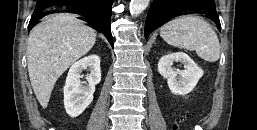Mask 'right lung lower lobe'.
<instances>
[{
    "instance_id": "right-lung-lower-lobe-1",
    "label": "right lung lower lobe",
    "mask_w": 257,
    "mask_h": 130,
    "mask_svg": "<svg viewBox=\"0 0 257 130\" xmlns=\"http://www.w3.org/2000/svg\"><path fill=\"white\" fill-rule=\"evenodd\" d=\"M114 0H92L81 1L76 4H68L60 1H42L38 0L36 8L32 14L28 25L30 30L34 25L39 23V19L44 17L46 9L53 6H72L77 8L76 14L81 15L80 19L89 23V26L98 32L105 34L106 38L113 46V39L111 35V7Z\"/></svg>"
}]
</instances>
